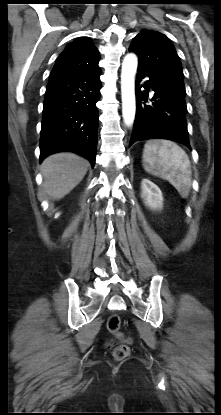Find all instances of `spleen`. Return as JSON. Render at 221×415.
Wrapping results in <instances>:
<instances>
[{
	"instance_id": "3e777b00",
	"label": "spleen",
	"mask_w": 221,
	"mask_h": 415,
	"mask_svg": "<svg viewBox=\"0 0 221 415\" xmlns=\"http://www.w3.org/2000/svg\"><path fill=\"white\" fill-rule=\"evenodd\" d=\"M143 167L148 173L169 181L182 198L188 197L191 164L188 155L176 143L169 140L147 142L143 150Z\"/></svg>"
}]
</instances>
